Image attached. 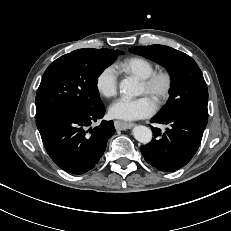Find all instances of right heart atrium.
<instances>
[{"mask_svg": "<svg viewBox=\"0 0 231 231\" xmlns=\"http://www.w3.org/2000/svg\"><path fill=\"white\" fill-rule=\"evenodd\" d=\"M96 89L100 95L110 98L118 90V73L113 66L104 67L96 77Z\"/></svg>", "mask_w": 231, "mask_h": 231, "instance_id": "1", "label": "right heart atrium"}]
</instances>
